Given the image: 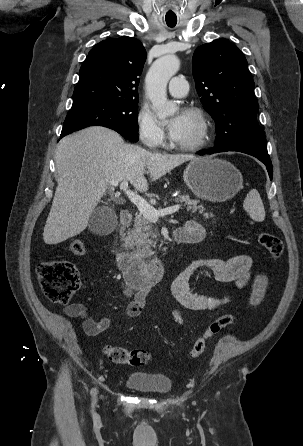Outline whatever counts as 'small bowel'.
I'll use <instances>...</instances> for the list:
<instances>
[{"label": "small bowel", "mask_w": 303, "mask_h": 446, "mask_svg": "<svg viewBox=\"0 0 303 446\" xmlns=\"http://www.w3.org/2000/svg\"><path fill=\"white\" fill-rule=\"evenodd\" d=\"M180 231L188 236L190 243L201 241L205 236L204 227L195 221H188ZM252 259L248 255H237L229 259H200L191 262L183 269L171 284V292L176 301L184 308L192 311H212L228 302L227 297H213L196 292L192 287L194 278L200 272H209L219 282L232 283L237 288L251 285L250 305L258 304L264 296L267 278L263 274L252 276ZM151 286L141 289L126 288L125 295L132 297L126 313L131 318L140 316L146 300L151 294ZM66 316L82 320L84 332L89 336H97L109 328L111 320L103 317L96 320L88 316L87 308L81 303H72L63 309ZM177 323L183 319L178 310L172 313Z\"/></svg>", "instance_id": "small-bowel-1"}]
</instances>
